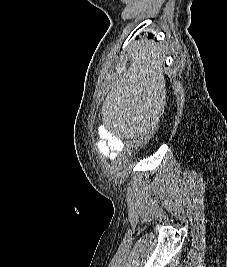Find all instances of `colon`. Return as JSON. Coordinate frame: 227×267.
<instances>
[{"label":"colon","mask_w":227,"mask_h":267,"mask_svg":"<svg viewBox=\"0 0 227 267\" xmlns=\"http://www.w3.org/2000/svg\"><path fill=\"white\" fill-rule=\"evenodd\" d=\"M156 118H162V113H160V115H155ZM155 130H158V128L161 127L160 123H155L154 124ZM156 135L155 131H150L149 135H146L142 138H140V140H136L135 143V149L131 150V158H138V156H142V154L144 152H146V147L149 144V140L153 139V136Z\"/></svg>","instance_id":"colon-1"}]
</instances>
